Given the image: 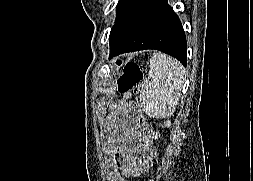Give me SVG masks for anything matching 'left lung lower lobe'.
Instances as JSON below:
<instances>
[{
	"instance_id": "0a47b994",
	"label": "left lung lower lobe",
	"mask_w": 253,
	"mask_h": 181,
	"mask_svg": "<svg viewBox=\"0 0 253 181\" xmlns=\"http://www.w3.org/2000/svg\"><path fill=\"white\" fill-rule=\"evenodd\" d=\"M109 41L110 57L156 49L186 66L184 30L167 0H133L112 27Z\"/></svg>"
}]
</instances>
